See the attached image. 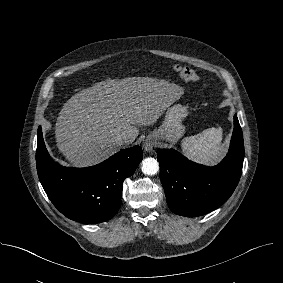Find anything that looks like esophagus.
<instances>
[{"instance_id": "obj_1", "label": "esophagus", "mask_w": 283, "mask_h": 283, "mask_svg": "<svg viewBox=\"0 0 283 283\" xmlns=\"http://www.w3.org/2000/svg\"><path fill=\"white\" fill-rule=\"evenodd\" d=\"M155 146V142L152 139H146L143 142V148L146 152H152Z\"/></svg>"}]
</instances>
